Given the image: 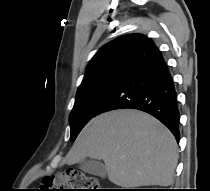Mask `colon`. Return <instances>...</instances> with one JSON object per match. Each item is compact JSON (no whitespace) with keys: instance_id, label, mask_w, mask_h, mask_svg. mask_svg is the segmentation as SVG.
<instances>
[{"instance_id":"obj_1","label":"colon","mask_w":210,"mask_h":191,"mask_svg":"<svg viewBox=\"0 0 210 191\" xmlns=\"http://www.w3.org/2000/svg\"><path fill=\"white\" fill-rule=\"evenodd\" d=\"M46 183L53 185L58 183L64 186V189H55L58 191H103L98 179L79 171H68L57 178H47Z\"/></svg>"}]
</instances>
